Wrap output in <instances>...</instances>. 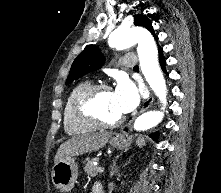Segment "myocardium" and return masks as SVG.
Instances as JSON below:
<instances>
[{
    "mask_svg": "<svg viewBox=\"0 0 221 193\" xmlns=\"http://www.w3.org/2000/svg\"><path fill=\"white\" fill-rule=\"evenodd\" d=\"M111 90L107 83L90 84L76 98L74 109L80 120L101 128H113L123 123L124 117L106 120L99 112L98 101L101 94Z\"/></svg>",
    "mask_w": 221,
    "mask_h": 193,
    "instance_id": "myocardium-1",
    "label": "myocardium"
}]
</instances>
